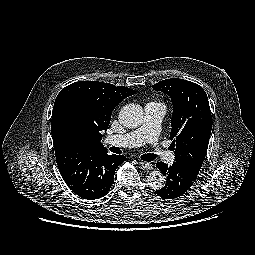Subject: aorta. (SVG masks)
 Segmentation results:
<instances>
[{"mask_svg": "<svg viewBox=\"0 0 255 255\" xmlns=\"http://www.w3.org/2000/svg\"><path fill=\"white\" fill-rule=\"evenodd\" d=\"M143 109L138 104H127L119 112V122L126 128H136L143 121ZM148 185L154 190H160L165 186L166 177L160 171H152L147 177Z\"/></svg>", "mask_w": 255, "mask_h": 255, "instance_id": "762f6f07", "label": "aorta"}]
</instances>
